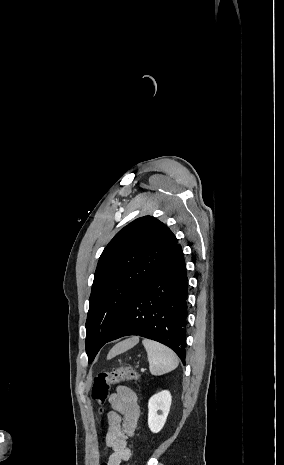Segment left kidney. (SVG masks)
<instances>
[{
    "instance_id": "left-kidney-1",
    "label": "left kidney",
    "mask_w": 284,
    "mask_h": 465,
    "mask_svg": "<svg viewBox=\"0 0 284 465\" xmlns=\"http://www.w3.org/2000/svg\"><path fill=\"white\" fill-rule=\"evenodd\" d=\"M171 403L172 397L169 391H161L149 399L148 427L152 433H159L163 429Z\"/></svg>"
}]
</instances>
